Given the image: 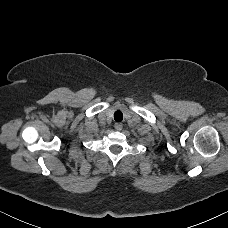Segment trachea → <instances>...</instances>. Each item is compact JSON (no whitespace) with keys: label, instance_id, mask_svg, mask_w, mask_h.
I'll return each instance as SVG.
<instances>
[{"label":"trachea","instance_id":"obj_1","mask_svg":"<svg viewBox=\"0 0 228 228\" xmlns=\"http://www.w3.org/2000/svg\"><path fill=\"white\" fill-rule=\"evenodd\" d=\"M123 119V113L120 111V110H117L115 113H114V120L116 122H121Z\"/></svg>","mask_w":228,"mask_h":228}]
</instances>
